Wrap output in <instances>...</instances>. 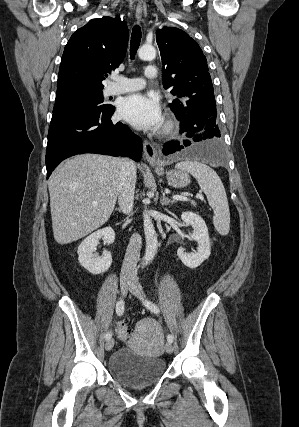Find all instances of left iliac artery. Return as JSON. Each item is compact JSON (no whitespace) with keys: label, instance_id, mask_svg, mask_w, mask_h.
Instances as JSON below:
<instances>
[{"label":"left iliac artery","instance_id":"left-iliac-artery-1","mask_svg":"<svg viewBox=\"0 0 299 427\" xmlns=\"http://www.w3.org/2000/svg\"><path fill=\"white\" fill-rule=\"evenodd\" d=\"M144 305L151 311V312H153V313H159V308H158V306L155 304V303H153V302H151V301H145L144 302ZM167 341L168 342H173V336L171 335V334H168V336H167Z\"/></svg>","mask_w":299,"mask_h":427}]
</instances>
